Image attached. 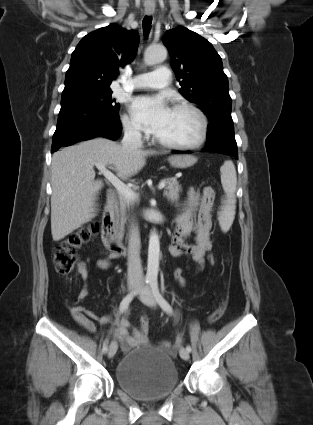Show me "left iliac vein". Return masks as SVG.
Segmentation results:
<instances>
[{"label":"left iliac vein","instance_id":"obj_1","mask_svg":"<svg viewBox=\"0 0 313 425\" xmlns=\"http://www.w3.org/2000/svg\"><path fill=\"white\" fill-rule=\"evenodd\" d=\"M140 300L149 307H155L156 301L155 298L148 286H141L139 290ZM180 357L184 360L189 359V351L185 348H181L179 351Z\"/></svg>","mask_w":313,"mask_h":425}]
</instances>
